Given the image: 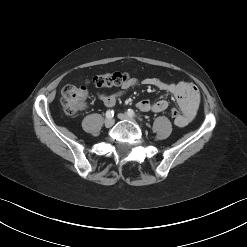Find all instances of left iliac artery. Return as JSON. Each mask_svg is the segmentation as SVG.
<instances>
[{
  "mask_svg": "<svg viewBox=\"0 0 247 247\" xmlns=\"http://www.w3.org/2000/svg\"><path fill=\"white\" fill-rule=\"evenodd\" d=\"M127 113L129 116H132V117L136 116L135 112L132 109H128Z\"/></svg>",
  "mask_w": 247,
  "mask_h": 247,
  "instance_id": "1",
  "label": "left iliac artery"
}]
</instances>
